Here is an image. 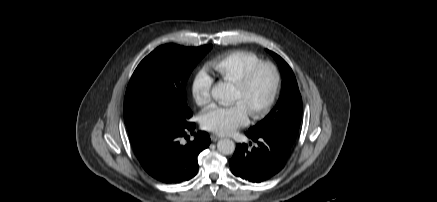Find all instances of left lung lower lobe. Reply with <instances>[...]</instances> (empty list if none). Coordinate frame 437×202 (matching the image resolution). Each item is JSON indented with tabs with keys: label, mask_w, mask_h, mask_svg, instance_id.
I'll use <instances>...</instances> for the list:
<instances>
[{
	"label": "left lung lower lobe",
	"mask_w": 437,
	"mask_h": 202,
	"mask_svg": "<svg viewBox=\"0 0 437 202\" xmlns=\"http://www.w3.org/2000/svg\"><path fill=\"white\" fill-rule=\"evenodd\" d=\"M256 146L238 144L230 159L232 173L250 182L265 181L281 171L290 155L291 147L278 137L246 132Z\"/></svg>",
	"instance_id": "left-lung-lower-lobe-1"
}]
</instances>
